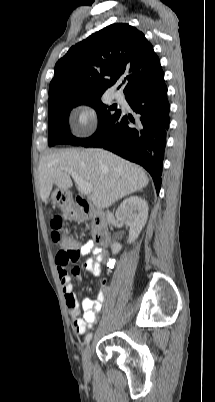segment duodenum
<instances>
[{
	"label": "duodenum",
	"mask_w": 215,
	"mask_h": 402,
	"mask_svg": "<svg viewBox=\"0 0 215 402\" xmlns=\"http://www.w3.org/2000/svg\"><path fill=\"white\" fill-rule=\"evenodd\" d=\"M68 212L74 220H91L95 225V241L100 246H107L110 243L111 235L105 216L94 209L88 201L82 197H77L70 204Z\"/></svg>",
	"instance_id": "410a0bca"
}]
</instances>
